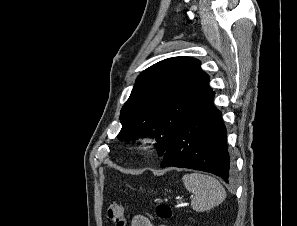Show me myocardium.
I'll return each mask as SVG.
<instances>
[{
    "label": "myocardium",
    "mask_w": 297,
    "mask_h": 226,
    "mask_svg": "<svg viewBox=\"0 0 297 226\" xmlns=\"http://www.w3.org/2000/svg\"><path fill=\"white\" fill-rule=\"evenodd\" d=\"M157 143V138L154 135H142L138 140V145L143 150L152 149Z\"/></svg>",
    "instance_id": "f54148a6"
}]
</instances>
